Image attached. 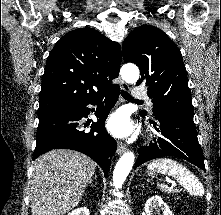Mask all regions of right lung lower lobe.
Returning a JSON list of instances; mask_svg holds the SVG:
<instances>
[{
    "mask_svg": "<svg viewBox=\"0 0 221 215\" xmlns=\"http://www.w3.org/2000/svg\"><path fill=\"white\" fill-rule=\"evenodd\" d=\"M119 90L117 85L68 111L39 118L33 160L52 149L76 150L95 160L106 176L111 164L109 158L117 144L105 130L104 122L118 99ZM88 104L98 105L95 112L98 121L92 123L90 130H84L80 120L90 113Z\"/></svg>",
    "mask_w": 221,
    "mask_h": 215,
    "instance_id": "1",
    "label": "right lung lower lobe"
}]
</instances>
